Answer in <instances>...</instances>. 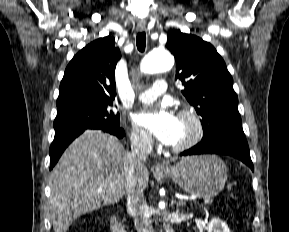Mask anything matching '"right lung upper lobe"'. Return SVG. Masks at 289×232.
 <instances>
[{"instance_id":"obj_1","label":"right lung upper lobe","mask_w":289,"mask_h":232,"mask_svg":"<svg viewBox=\"0 0 289 232\" xmlns=\"http://www.w3.org/2000/svg\"><path fill=\"white\" fill-rule=\"evenodd\" d=\"M115 38L107 36L88 44L68 64L60 84L57 108L73 102L113 103L115 67L121 58Z\"/></svg>"}]
</instances>
